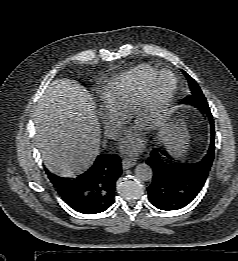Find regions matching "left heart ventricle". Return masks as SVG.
Returning a JSON list of instances; mask_svg holds the SVG:
<instances>
[{"label": "left heart ventricle", "instance_id": "1", "mask_svg": "<svg viewBox=\"0 0 238 261\" xmlns=\"http://www.w3.org/2000/svg\"><path fill=\"white\" fill-rule=\"evenodd\" d=\"M173 86V80L169 75L158 76L149 87L148 107L149 110L139 117L135 123V128L140 132L148 129L151 120L157 110L160 108Z\"/></svg>", "mask_w": 238, "mask_h": 261}]
</instances>
